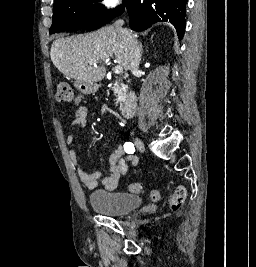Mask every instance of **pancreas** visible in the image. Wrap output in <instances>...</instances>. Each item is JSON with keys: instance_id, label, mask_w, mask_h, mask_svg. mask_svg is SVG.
Returning <instances> with one entry per match:
<instances>
[{"instance_id": "pancreas-1", "label": "pancreas", "mask_w": 256, "mask_h": 267, "mask_svg": "<svg viewBox=\"0 0 256 267\" xmlns=\"http://www.w3.org/2000/svg\"><path fill=\"white\" fill-rule=\"evenodd\" d=\"M113 92L117 98V100H115L116 104H118V102H121V108L123 106L122 102H123V98H125L122 90H121V86H113Z\"/></svg>"}]
</instances>
